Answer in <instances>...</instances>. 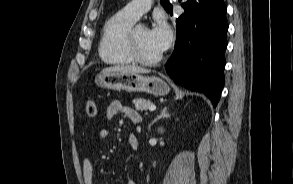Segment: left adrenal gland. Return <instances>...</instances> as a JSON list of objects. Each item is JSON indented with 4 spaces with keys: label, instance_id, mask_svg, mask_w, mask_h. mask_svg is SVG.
Masks as SVG:
<instances>
[{
    "label": "left adrenal gland",
    "instance_id": "1",
    "mask_svg": "<svg viewBox=\"0 0 293 184\" xmlns=\"http://www.w3.org/2000/svg\"><path fill=\"white\" fill-rule=\"evenodd\" d=\"M170 117V114L167 112V107L163 108L160 115H158L150 124H149V128H151V126L156 123L158 120L160 119H164V118H168Z\"/></svg>",
    "mask_w": 293,
    "mask_h": 184
}]
</instances>
